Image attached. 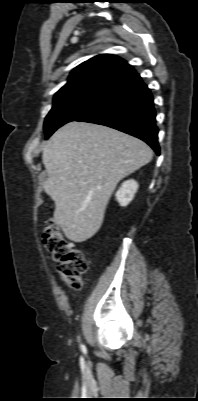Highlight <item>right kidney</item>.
<instances>
[{"mask_svg":"<svg viewBox=\"0 0 198 401\" xmlns=\"http://www.w3.org/2000/svg\"><path fill=\"white\" fill-rule=\"evenodd\" d=\"M138 187L135 180L125 181L115 194L116 200L121 206H127L133 200Z\"/></svg>","mask_w":198,"mask_h":401,"instance_id":"obj_1","label":"right kidney"}]
</instances>
